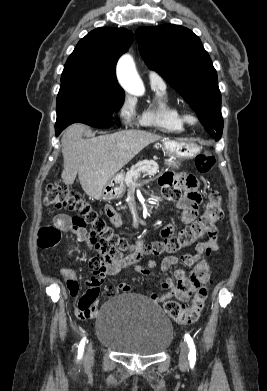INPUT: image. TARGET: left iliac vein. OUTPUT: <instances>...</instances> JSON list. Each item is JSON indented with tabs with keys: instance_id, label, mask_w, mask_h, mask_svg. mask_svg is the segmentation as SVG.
<instances>
[{
	"instance_id": "left-iliac-vein-1",
	"label": "left iliac vein",
	"mask_w": 267,
	"mask_h": 391,
	"mask_svg": "<svg viewBox=\"0 0 267 391\" xmlns=\"http://www.w3.org/2000/svg\"><path fill=\"white\" fill-rule=\"evenodd\" d=\"M188 356H189V347L185 340L180 342V357H179V366L181 369H186L188 367Z\"/></svg>"
}]
</instances>
